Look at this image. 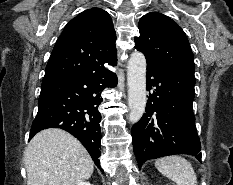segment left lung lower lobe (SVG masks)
I'll list each match as a JSON object with an SVG mask.
<instances>
[{"instance_id": "1", "label": "left lung lower lobe", "mask_w": 233, "mask_h": 185, "mask_svg": "<svg viewBox=\"0 0 233 185\" xmlns=\"http://www.w3.org/2000/svg\"><path fill=\"white\" fill-rule=\"evenodd\" d=\"M146 113L131 129L139 169L150 159L189 154L201 160L192 103L195 76L147 65Z\"/></svg>"}]
</instances>
